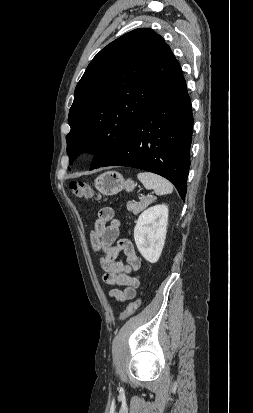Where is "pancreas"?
<instances>
[{
  "mask_svg": "<svg viewBox=\"0 0 253 413\" xmlns=\"http://www.w3.org/2000/svg\"><path fill=\"white\" fill-rule=\"evenodd\" d=\"M154 197H143L141 198L140 202H128L127 209L131 211L133 214L137 215L141 211H143L147 206H149L152 202H154Z\"/></svg>",
  "mask_w": 253,
  "mask_h": 413,
  "instance_id": "obj_1",
  "label": "pancreas"
}]
</instances>
